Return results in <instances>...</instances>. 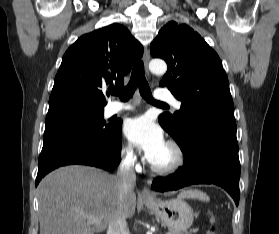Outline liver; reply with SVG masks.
Returning <instances> with one entry per match:
<instances>
[{"instance_id":"1","label":"liver","mask_w":279,"mask_h":234,"mask_svg":"<svg viewBox=\"0 0 279 234\" xmlns=\"http://www.w3.org/2000/svg\"><path fill=\"white\" fill-rule=\"evenodd\" d=\"M40 234H94L119 216L130 218L136 209L131 190L121 194L116 177L86 166L61 167L38 186ZM99 219L91 224L87 216Z\"/></svg>"}]
</instances>
